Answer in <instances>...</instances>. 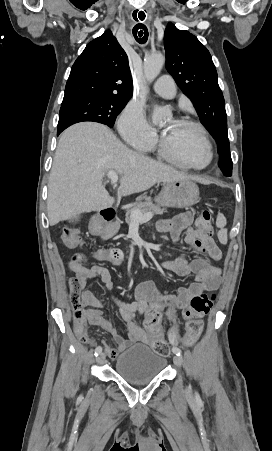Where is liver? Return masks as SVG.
<instances>
[{"instance_id": "liver-1", "label": "liver", "mask_w": 272, "mask_h": 451, "mask_svg": "<svg viewBox=\"0 0 272 451\" xmlns=\"http://www.w3.org/2000/svg\"><path fill=\"white\" fill-rule=\"evenodd\" d=\"M108 170L121 176L120 196L144 192L158 182H204L129 150L103 124L81 122L63 132L56 148L48 182L50 226L82 212L112 208L115 200L102 184Z\"/></svg>"}]
</instances>
